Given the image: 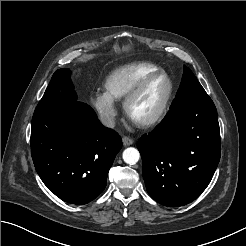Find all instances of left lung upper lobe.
I'll use <instances>...</instances> for the list:
<instances>
[{
  "mask_svg": "<svg viewBox=\"0 0 246 246\" xmlns=\"http://www.w3.org/2000/svg\"><path fill=\"white\" fill-rule=\"evenodd\" d=\"M183 69L184 72L181 85L177 92L176 98L171 105V109L190 100L200 99L208 96L192 71L186 66H184Z\"/></svg>",
  "mask_w": 246,
  "mask_h": 246,
  "instance_id": "1",
  "label": "left lung upper lobe"
}]
</instances>
